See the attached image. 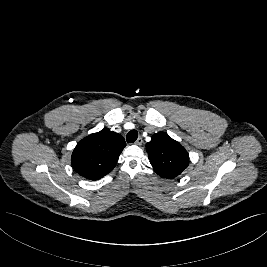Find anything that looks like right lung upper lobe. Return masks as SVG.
<instances>
[{
  "label": "right lung upper lobe",
  "instance_id": "cb5924a9",
  "mask_svg": "<svg viewBox=\"0 0 267 267\" xmlns=\"http://www.w3.org/2000/svg\"><path fill=\"white\" fill-rule=\"evenodd\" d=\"M125 146L120 134L103 129L77 144L71 157L72 167L87 179H100L112 171Z\"/></svg>",
  "mask_w": 267,
  "mask_h": 267
}]
</instances>
